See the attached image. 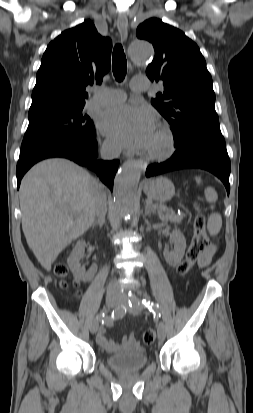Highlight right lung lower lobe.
Masks as SVG:
<instances>
[{
	"mask_svg": "<svg viewBox=\"0 0 253 413\" xmlns=\"http://www.w3.org/2000/svg\"><path fill=\"white\" fill-rule=\"evenodd\" d=\"M95 132L90 137L50 141L21 149L17 163V187L27 170L35 163L52 157H64L95 171L102 182L113 190L114 177L119 161H97L98 144Z\"/></svg>",
	"mask_w": 253,
	"mask_h": 413,
	"instance_id": "right-lung-lower-lobe-1",
	"label": "right lung lower lobe"
}]
</instances>
